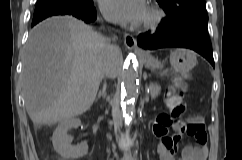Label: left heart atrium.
Wrapping results in <instances>:
<instances>
[{"label":"left heart atrium","mask_w":242,"mask_h":160,"mask_svg":"<svg viewBox=\"0 0 242 160\" xmlns=\"http://www.w3.org/2000/svg\"><path fill=\"white\" fill-rule=\"evenodd\" d=\"M100 8L112 22L139 24L143 21L147 6L145 0H101Z\"/></svg>","instance_id":"left-heart-atrium-1"}]
</instances>
